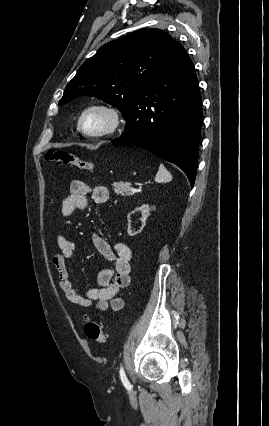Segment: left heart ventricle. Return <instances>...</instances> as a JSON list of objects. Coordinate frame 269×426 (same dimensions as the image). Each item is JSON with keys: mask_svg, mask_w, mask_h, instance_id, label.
I'll use <instances>...</instances> for the list:
<instances>
[{"mask_svg": "<svg viewBox=\"0 0 269 426\" xmlns=\"http://www.w3.org/2000/svg\"><path fill=\"white\" fill-rule=\"evenodd\" d=\"M107 124V117L100 112H91L84 119V127L89 131H96Z\"/></svg>", "mask_w": 269, "mask_h": 426, "instance_id": "left-heart-ventricle-1", "label": "left heart ventricle"}]
</instances>
